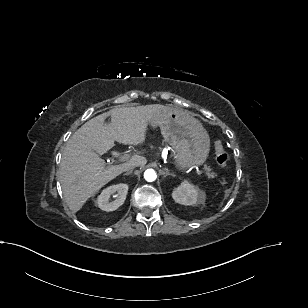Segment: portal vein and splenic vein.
I'll return each mask as SVG.
<instances>
[{
	"label": "portal vein and splenic vein",
	"mask_w": 308,
	"mask_h": 308,
	"mask_svg": "<svg viewBox=\"0 0 308 308\" xmlns=\"http://www.w3.org/2000/svg\"><path fill=\"white\" fill-rule=\"evenodd\" d=\"M135 158H136L135 156H130V155H127V154H123V155H120V156H119V160H120V161H126V160H128V161H134ZM197 174H198V175H201L202 172L197 170Z\"/></svg>",
	"instance_id": "1"
}]
</instances>
